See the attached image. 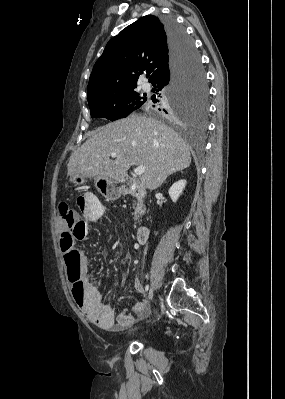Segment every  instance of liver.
<instances>
[{"mask_svg":"<svg viewBox=\"0 0 285 399\" xmlns=\"http://www.w3.org/2000/svg\"><path fill=\"white\" fill-rule=\"evenodd\" d=\"M112 152L117 153L110 159ZM190 148L164 123L132 114L101 127L69 158L68 175L113 178L144 166L141 187L155 190L173 173L189 167Z\"/></svg>","mask_w":285,"mask_h":399,"instance_id":"obj_1","label":"liver"}]
</instances>
